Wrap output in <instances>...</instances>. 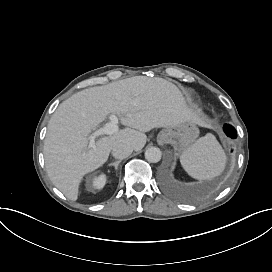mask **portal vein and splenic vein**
Returning a JSON list of instances; mask_svg holds the SVG:
<instances>
[{
  "label": "portal vein and splenic vein",
  "mask_w": 272,
  "mask_h": 272,
  "mask_svg": "<svg viewBox=\"0 0 272 272\" xmlns=\"http://www.w3.org/2000/svg\"><path fill=\"white\" fill-rule=\"evenodd\" d=\"M110 122L106 123L104 127L97 129L94 131L89 137V145L88 148H95V139L100 135H112L118 132V118L116 115L109 116Z\"/></svg>",
  "instance_id": "1"
}]
</instances>
